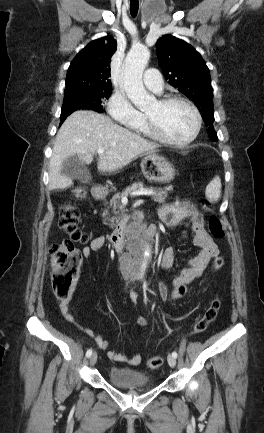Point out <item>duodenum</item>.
<instances>
[{
	"label": "duodenum",
	"instance_id": "410a0bca",
	"mask_svg": "<svg viewBox=\"0 0 264 433\" xmlns=\"http://www.w3.org/2000/svg\"><path fill=\"white\" fill-rule=\"evenodd\" d=\"M92 194L95 199L102 200L105 198V192L98 187L92 189ZM128 232V223L124 222L114 231L107 234L109 244L115 249H121L126 244V237ZM146 237H153L156 234V227L150 226L143 231ZM134 252L127 253V259L122 263V267L125 273L133 276L138 273L139 269L135 266H131L130 258L133 257Z\"/></svg>",
	"mask_w": 264,
	"mask_h": 433
}]
</instances>
